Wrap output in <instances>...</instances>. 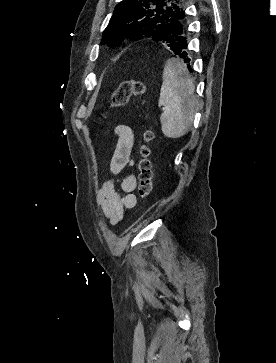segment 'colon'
<instances>
[{
	"label": "colon",
	"instance_id": "1",
	"mask_svg": "<svg viewBox=\"0 0 276 363\" xmlns=\"http://www.w3.org/2000/svg\"><path fill=\"white\" fill-rule=\"evenodd\" d=\"M146 92L144 82L140 80H127L113 91L110 98V105L113 108L126 106L131 96H143ZM153 139V133L145 130L142 134V141L138 150V194L140 198L147 199L153 190V172L149 160L150 149L148 143Z\"/></svg>",
	"mask_w": 276,
	"mask_h": 363
}]
</instances>
